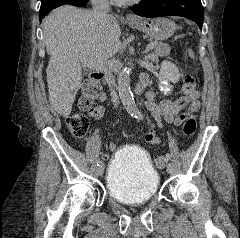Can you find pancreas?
I'll return each mask as SVG.
<instances>
[{
    "instance_id": "pancreas-1",
    "label": "pancreas",
    "mask_w": 240,
    "mask_h": 238,
    "mask_svg": "<svg viewBox=\"0 0 240 238\" xmlns=\"http://www.w3.org/2000/svg\"><path fill=\"white\" fill-rule=\"evenodd\" d=\"M155 43H156V45L154 47L155 51H154L153 56H155V57L167 56L170 54L171 47L167 43H162V42H155ZM119 66H120V63L118 62L116 64L115 69L118 70ZM110 69H113V68H110Z\"/></svg>"
}]
</instances>
